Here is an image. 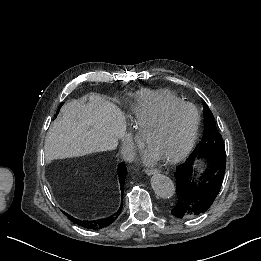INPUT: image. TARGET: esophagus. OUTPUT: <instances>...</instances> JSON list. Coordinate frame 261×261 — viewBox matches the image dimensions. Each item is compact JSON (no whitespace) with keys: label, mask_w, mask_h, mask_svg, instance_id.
I'll return each mask as SVG.
<instances>
[{"label":"esophagus","mask_w":261,"mask_h":261,"mask_svg":"<svg viewBox=\"0 0 261 261\" xmlns=\"http://www.w3.org/2000/svg\"><path fill=\"white\" fill-rule=\"evenodd\" d=\"M144 171L147 175H152L160 172L158 169H152V168H146L144 169Z\"/></svg>","instance_id":"1"}]
</instances>
